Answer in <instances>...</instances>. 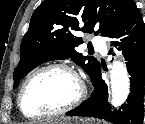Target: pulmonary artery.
<instances>
[{"label":"pulmonary artery","mask_w":145,"mask_h":124,"mask_svg":"<svg viewBox=\"0 0 145 124\" xmlns=\"http://www.w3.org/2000/svg\"><path fill=\"white\" fill-rule=\"evenodd\" d=\"M94 47L100 51L102 54H106L107 49L104 43L102 42V37L101 36H95L92 39Z\"/></svg>","instance_id":"1"}]
</instances>
